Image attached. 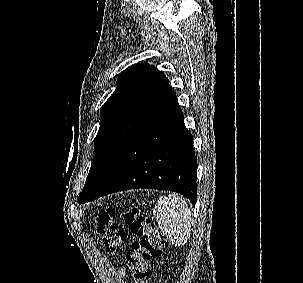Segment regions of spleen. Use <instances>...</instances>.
<instances>
[{
    "instance_id": "1",
    "label": "spleen",
    "mask_w": 303,
    "mask_h": 283,
    "mask_svg": "<svg viewBox=\"0 0 303 283\" xmlns=\"http://www.w3.org/2000/svg\"><path fill=\"white\" fill-rule=\"evenodd\" d=\"M153 214L161 232L172 244H186L191 232L192 213L185 200L171 194L160 196Z\"/></svg>"
}]
</instances>
